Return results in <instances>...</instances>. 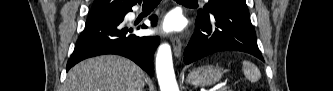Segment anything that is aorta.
Listing matches in <instances>:
<instances>
[{
  "label": "aorta",
  "instance_id": "aorta-1",
  "mask_svg": "<svg viewBox=\"0 0 333 91\" xmlns=\"http://www.w3.org/2000/svg\"><path fill=\"white\" fill-rule=\"evenodd\" d=\"M156 73L161 91H179L169 44H162L158 49L156 56Z\"/></svg>",
  "mask_w": 333,
  "mask_h": 91
}]
</instances>
